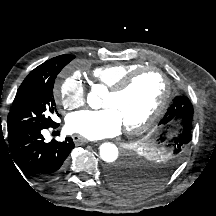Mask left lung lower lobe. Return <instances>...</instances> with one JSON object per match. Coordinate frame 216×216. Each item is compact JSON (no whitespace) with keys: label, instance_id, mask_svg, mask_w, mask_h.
I'll list each match as a JSON object with an SVG mask.
<instances>
[{"label":"left lung lower lobe","instance_id":"obj_1","mask_svg":"<svg viewBox=\"0 0 216 216\" xmlns=\"http://www.w3.org/2000/svg\"><path fill=\"white\" fill-rule=\"evenodd\" d=\"M108 181L120 192L133 195L134 175L128 168L112 167L107 171Z\"/></svg>","mask_w":216,"mask_h":216}]
</instances>
